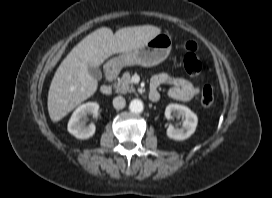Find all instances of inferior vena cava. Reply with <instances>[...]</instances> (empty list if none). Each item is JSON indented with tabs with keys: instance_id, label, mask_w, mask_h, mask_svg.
Segmentation results:
<instances>
[{
	"instance_id": "602c4592",
	"label": "inferior vena cava",
	"mask_w": 272,
	"mask_h": 198,
	"mask_svg": "<svg viewBox=\"0 0 272 198\" xmlns=\"http://www.w3.org/2000/svg\"><path fill=\"white\" fill-rule=\"evenodd\" d=\"M126 105V100L122 96H117L113 99V106L115 109H123Z\"/></svg>"
}]
</instances>
